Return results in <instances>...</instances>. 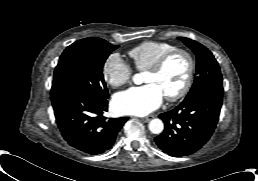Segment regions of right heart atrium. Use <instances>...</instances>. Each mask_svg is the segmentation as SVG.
I'll list each match as a JSON object with an SVG mask.
<instances>
[{
	"label": "right heart atrium",
	"instance_id": "1",
	"mask_svg": "<svg viewBox=\"0 0 258 181\" xmlns=\"http://www.w3.org/2000/svg\"><path fill=\"white\" fill-rule=\"evenodd\" d=\"M103 77L112 87H120L130 81L132 68L118 55L111 54L104 62Z\"/></svg>",
	"mask_w": 258,
	"mask_h": 181
}]
</instances>
